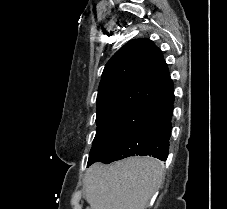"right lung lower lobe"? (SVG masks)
I'll use <instances>...</instances> for the list:
<instances>
[{"mask_svg":"<svg viewBox=\"0 0 227 209\" xmlns=\"http://www.w3.org/2000/svg\"><path fill=\"white\" fill-rule=\"evenodd\" d=\"M169 83L173 84L168 71ZM174 91L151 106L143 125L101 162L109 164L130 156H152L160 160L168 157Z\"/></svg>","mask_w":227,"mask_h":209,"instance_id":"1","label":"right lung lower lobe"}]
</instances>
